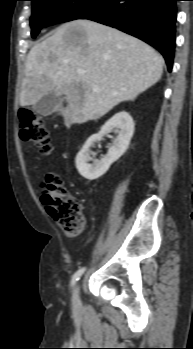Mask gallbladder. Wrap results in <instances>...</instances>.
<instances>
[{
    "label": "gallbladder",
    "instance_id": "gallbladder-1",
    "mask_svg": "<svg viewBox=\"0 0 193 349\" xmlns=\"http://www.w3.org/2000/svg\"><path fill=\"white\" fill-rule=\"evenodd\" d=\"M64 97L62 95L55 96L53 94L42 97L38 102L33 104V110L41 116L51 115L56 106H62Z\"/></svg>",
    "mask_w": 193,
    "mask_h": 349
}]
</instances>
